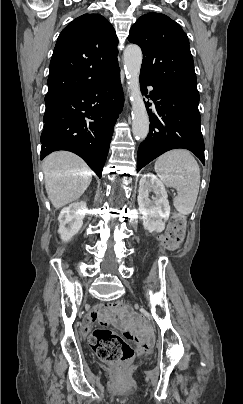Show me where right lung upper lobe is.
I'll list each match as a JSON object with an SVG mask.
<instances>
[{"label": "right lung upper lobe", "mask_w": 243, "mask_h": 404, "mask_svg": "<svg viewBox=\"0 0 243 404\" xmlns=\"http://www.w3.org/2000/svg\"><path fill=\"white\" fill-rule=\"evenodd\" d=\"M118 39L99 14H84L60 33L50 62L45 101L81 91L120 71Z\"/></svg>", "instance_id": "1"}]
</instances>
